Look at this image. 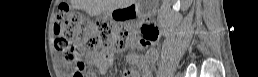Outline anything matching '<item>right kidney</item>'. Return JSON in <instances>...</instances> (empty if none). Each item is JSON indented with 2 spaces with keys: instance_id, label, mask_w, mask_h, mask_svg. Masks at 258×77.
Instances as JSON below:
<instances>
[{
  "instance_id": "ca27d5eb",
  "label": "right kidney",
  "mask_w": 258,
  "mask_h": 77,
  "mask_svg": "<svg viewBox=\"0 0 258 77\" xmlns=\"http://www.w3.org/2000/svg\"><path fill=\"white\" fill-rule=\"evenodd\" d=\"M183 2H184V0H183ZM191 3L192 2V0H185V4H184V6H183V9H187L188 7H189V3ZM170 3V2H169ZM169 3L167 4V6H163V7H161V9H160V15L161 16H165L166 14H168L169 13ZM178 4V2L176 3V5Z\"/></svg>"
}]
</instances>
